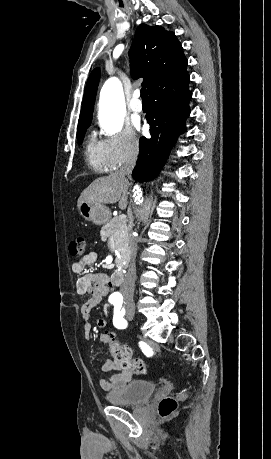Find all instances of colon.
Listing matches in <instances>:
<instances>
[{
	"mask_svg": "<svg viewBox=\"0 0 271 459\" xmlns=\"http://www.w3.org/2000/svg\"><path fill=\"white\" fill-rule=\"evenodd\" d=\"M86 244L83 237H78L69 245V251L72 256H82L85 254ZM108 337L109 348L111 355L117 360L121 366L136 374H144L146 366L142 359L134 358L132 350L129 346L120 344L114 333L105 334ZM178 397H166L162 399L158 406V412L161 417H169L177 408Z\"/></svg>",
	"mask_w": 271,
	"mask_h": 459,
	"instance_id": "obj_1",
	"label": "colon"
}]
</instances>
